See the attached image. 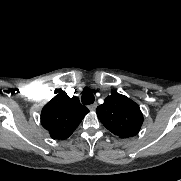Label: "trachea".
Returning <instances> with one entry per match:
<instances>
[{
    "instance_id": "3493384b",
    "label": "trachea",
    "mask_w": 181,
    "mask_h": 181,
    "mask_svg": "<svg viewBox=\"0 0 181 181\" xmlns=\"http://www.w3.org/2000/svg\"><path fill=\"white\" fill-rule=\"evenodd\" d=\"M95 98L91 92H84L81 96V101L83 104H92Z\"/></svg>"
}]
</instances>
